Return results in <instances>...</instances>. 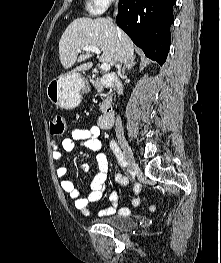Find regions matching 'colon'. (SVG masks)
Masks as SVG:
<instances>
[{"instance_id":"obj_1","label":"colon","mask_w":221,"mask_h":263,"mask_svg":"<svg viewBox=\"0 0 221 263\" xmlns=\"http://www.w3.org/2000/svg\"><path fill=\"white\" fill-rule=\"evenodd\" d=\"M50 134L54 137H58L64 134L66 131V122L63 116L56 114L49 122Z\"/></svg>"}]
</instances>
